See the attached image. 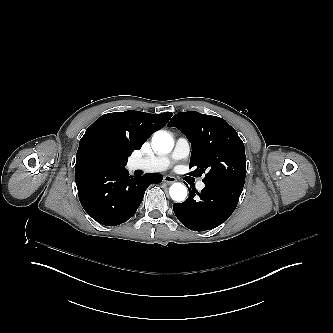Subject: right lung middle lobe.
Instances as JSON below:
<instances>
[{
  "instance_id": "1",
  "label": "right lung middle lobe",
  "mask_w": 333,
  "mask_h": 333,
  "mask_svg": "<svg viewBox=\"0 0 333 333\" xmlns=\"http://www.w3.org/2000/svg\"><path fill=\"white\" fill-rule=\"evenodd\" d=\"M127 159H120L101 145L92 146L86 153L84 162L94 163L101 167L123 168L127 164Z\"/></svg>"
}]
</instances>
